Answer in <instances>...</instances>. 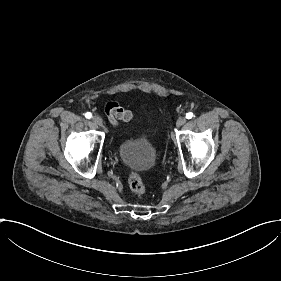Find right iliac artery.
Listing matches in <instances>:
<instances>
[{"mask_svg":"<svg viewBox=\"0 0 281 281\" xmlns=\"http://www.w3.org/2000/svg\"><path fill=\"white\" fill-rule=\"evenodd\" d=\"M85 117L87 119H90L92 117V114L90 112L85 113Z\"/></svg>","mask_w":281,"mask_h":281,"instance_id":"right-iliac-artery-1","label":"right iliac artery"}]
</instances>
